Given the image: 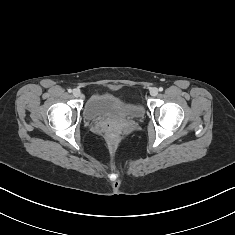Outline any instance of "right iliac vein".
I'll return each instance as SVG.
<instances>
[{
  "instance_id": "63e3f726",
  "label": "right iliac vein",
  "mask_w": 235,
  "mask_h": 235,
  "mask_svg": "<svg viewBox=\"0 0 235 235\" xmlns=\"http://www.w3.org/2000/svg\"><path fill=\"white\" fill-rule=\"evenodd\" d=\"M73 95H74L75 97H79V96L81 95L80 90H79V89H74V90H73Z\"/></svg>"
}]
</instances>
